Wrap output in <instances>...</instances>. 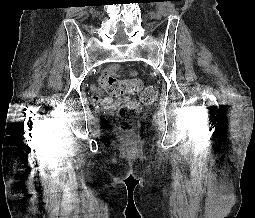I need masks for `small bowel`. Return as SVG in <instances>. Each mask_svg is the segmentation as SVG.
<instances>
[{
    "label": "small bowel",
    "instance_id": "c3829d8e",
    "mask_svg": "<svg viewBox=\"0 0 255 218\" xmlns=\"http://www.w3.org/2000/svg\"><path fill=\"white\" fill-rule=\"evenodd\" d=\"M117 69H118L117 67L113 66V67H111L107 70V73L105 75L109 76L110 74H114L117 71ZM95 99L96 100H101V95L98 92H96V94H95ZM107 102L109 104H116L117 103V102H114L112 100H107Z\"/></svg>",
    "mask_w": 255,
    "mask_h": 218
}]
</instances>
